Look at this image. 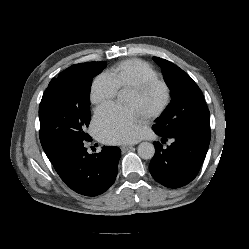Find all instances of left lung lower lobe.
Wrapping results in <instances>:
<instances>
[{
  "label": "left lung lower lobe",
  "instance_id": "1",
  "mask_svg": "<svg viewBox=\"0 0 249 249\" xmlns=\"http://www.w3.org/2000/svg\"><path fill=\"white\" fill-rule=\"evenodd\" d=\"M162 137L161 142L173 138L174 142L163 148L160 142H154L155 155L149 170L160 184L179 188L191 182L198 174L208 151L211 134H186L182 136Z\"/></svg>",
  "mask_w": 249,
  "mask_h": 249
}]
</instances>
